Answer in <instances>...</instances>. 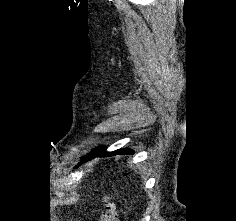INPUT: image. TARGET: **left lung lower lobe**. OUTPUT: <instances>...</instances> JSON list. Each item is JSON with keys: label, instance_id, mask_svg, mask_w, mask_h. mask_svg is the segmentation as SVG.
I'll return each instance as SVG.
<instances>
[{"label": "left lung lower lobe", "instance_id": "left-lung-lower-lobe-1", "mask_svg": "<svg viewBox=\"0 0 236 221\" xmlns=\"http://www.w3.org/2000/svg\"><path fill=\"white\" fill-rule=\"evenodd\" d=\"M129 153H132V151L128 148L116 150L113 152H106V150L103 147H100V148H96L92 150V152H90L88 155L83 157L81 162H86L88 160H91L93 157H97V156H111V155H117V154L123 155V154H129Z\"/></svg>", "mask_w": 236, "mask_h": 221}]
</instances>
